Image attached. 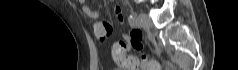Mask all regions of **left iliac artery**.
<instances>
[{
    "label": "left iliac artery",
    "mask_w": 238,
    "mask_h": 70,
    "mask_svg": "<svg viewBox=\"0 0 238 70\" xmlns=\"http://www.w3.org/2000/svg\"><path fill=\"white\" fill-rule=\"evenodd\" d=\"M128 22L131 26H136L137 25V21H136L135 17L132 14H130L128 16Z\"/></svg>",
    "instance_id": "obj_1"
}]
</instances>
